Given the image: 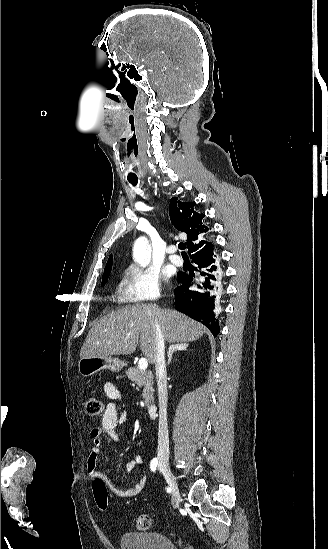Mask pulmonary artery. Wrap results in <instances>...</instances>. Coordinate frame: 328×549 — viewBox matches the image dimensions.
Returning <instances> with one entry per match:
<instances>
[{"mask_svg": "<svg viewBox=\"0 0 328 549\" xmlns=\"http://www.w3.org/2000/svg\"><path fill=\"white\" fill-rule=\"evenodd\" d=\"M167 253L169 254V259H170V261H171L172 263H174V264H176V265H178V266H181V265H182V260H181V258H180L178 255L173 254V252H172L171 249H169V250L167 251Z\"/></svg>", "mask_w": 328, "mask_h": 549, "instance_id": "pulmonary-artery-1", "label": "pulmonary artery"}]
</instances>
